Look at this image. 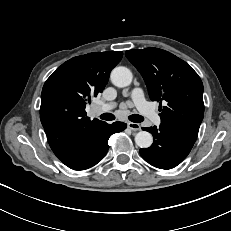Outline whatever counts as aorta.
I'll list each match as a JSON object with an SVG mask.
<instances>
[{
    "label": "aorta",
    "instance_id": "aorta-1",
    "mask_svg": "<svg viewBox=\"0 0 231 231\" xmlns=\"http://www.w3.org/2000/svg\"><path fill=\"white\" fill-rule=\"evenodd\" d=\"M111 82L120 88L129 86L132 82L133 75L131 71L123 66L115 67L110 74ZM135 143L140 148H148L153 143L152 135L147 131H139L135 135Z\"/></svg>",
    "mask_w": 231,
    "mask_h": 231
}]
</instances>
